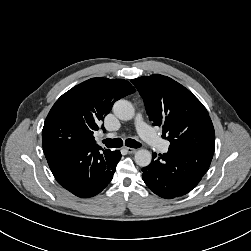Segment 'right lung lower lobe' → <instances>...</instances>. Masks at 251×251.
Instances as JSON below:
<instances>
[{
    "label": "right lung lower lobe",
    "mask_w": 251,
    "mask_h": 251,
    "mask_svg": "<svg viewBox=\"0 0 251 251\" xmlns=\"http://www.w3.org/2000/svg\"><path fill=\"white\" fill-rule=\"evenodd\" d=\"M99 147L51 146L43 148L57 182L74 195L87 198L101 192L112 180L121 158L119 150Z\"/></svg>",
    "instance_id": "1"
}]
</instances>
